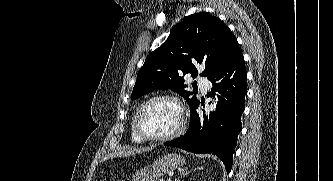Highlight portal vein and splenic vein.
I'll return each instance as SVG.
<instances>
[{"instance_id":"18ae733b","label":"portal vein and splenic vein","mask_w":333,"mask_h":181,"mask_svg":"<svg viewBox=\"0 0 333 181\" xmlns=\"http://www.w3.org/2000/svg\"><path fill=\"white\" fill-rule=\"evenodd\" d=\"M159 181H164L163 179H160ZM169 181H171V180H169Z\"/></svg>"}]
</instances>
